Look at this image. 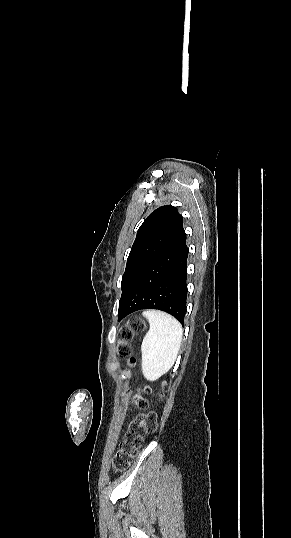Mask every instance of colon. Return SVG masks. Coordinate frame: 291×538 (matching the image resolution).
I'll list each match as a JSON object with an SVG mask.
<instances>
[{
    "label": "colon",
    "instance_id": "colon-1",
    "mask_svg": "<svg viewBox=\"0 0 291 538\" xmlns=\"http://www.w3.org/2000/svg\"><path fill=\"white\" fill-rule=\"evenodd\" d=\"M145 324L140 318L129 320L128 325L120 332L122 343L118 347V354L123 358H129L131 351L128 342L133 338L134 330H142ZM133 363L132 360H129ZM151 392L150 387L144 386L141 391L135 395L134 404L140 410L130 422L119 449L113 459V468L116 471L126 470L131 461L137 455L139 448L143 443L144 437L156 428V415L153 412H147L148 401L145 394Z\"/></svg>",
    "mask_w": 291,
    "mask_h": 538
}]
</instances>
